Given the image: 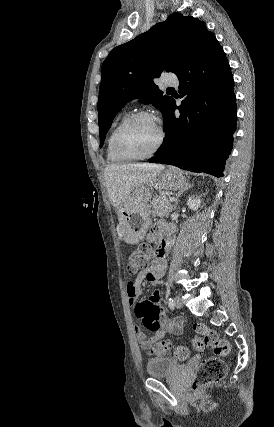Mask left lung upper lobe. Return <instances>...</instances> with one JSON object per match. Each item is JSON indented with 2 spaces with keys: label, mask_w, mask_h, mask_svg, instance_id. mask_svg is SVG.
Masks as SVG:
<instances>
[{
  "label": "left lung upper lobe",
  "mask_w": 274,
  "mask_h": 427,
  "mask_svg": "<svg viewBox=\"0 0 274 427\" xmlns=\"http://www.w3.org/2000/svg\"><path fill=\"white\" fill-rule=\"evenodd\" d=\"M213 37L199 19L172 13L165 22L115 47L102 64L97 103L100 147L113 118L131 99L152 103L164 114L172 98L163 95L154 77L165 71L178 76Z\"/></svg>",
  "instance_id": "left-lung-upper-lobe-1"
}]
</instances>
